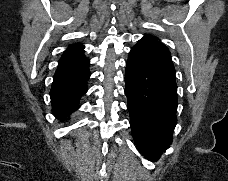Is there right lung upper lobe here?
<instances>
[{"instance_id":"obj_1","label":"right lung upper lobe","mask_w":228,"mask_h":181,"mask_svg":"<svg viewBox=\"0 0 228 181\" xmlns=\"http://www.w3.org/2000/svg\"><path fill=\"white\" fill-rule=\"evenodd\" d=\"M80 47H82L80 44H73V45L69 46V48L65 51V53H69V52H71V51H73L75 49H78Z\"/></svg>"}]
</instances>
